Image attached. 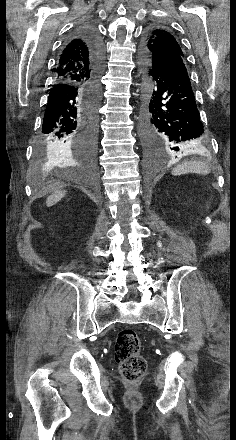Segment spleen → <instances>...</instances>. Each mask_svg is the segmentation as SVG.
<instances>
[{"mask_svg": "<svg viewBox=\"0 0 236 440\" xmlns=\"http://www.w3.org/2000/svg\"><path fill=\"white\" fill-rule=\"evenodd\" d=\"M198 173V174H209L211 169L206 162L202 161H187L180 165H177L173 170V175H180L183 173Z\"/></svg>", "mask_w": 236, "mask_h": 440, "instance_id": "3e777b00", "label": "spleen"}]
</instances>
